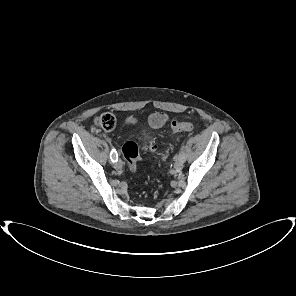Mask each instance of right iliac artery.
<instances>
[{
  "mask_svg": "<svg viewBox=\"0 0 296 296\" xmlns=\"http://www.w3.org/2000/svg\"><path fill=\"white\" fill-rule=\"evenodd\" d=\"M110 159L112 162H116L118 160V154L115 149H112Z\"/></svg>",
  "mask_w": 296,
  "mask_h": 296,
  "instance_id": "right-iliac-artery-1",
  "label": "right iliac artery"
}]
</instances>
